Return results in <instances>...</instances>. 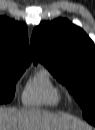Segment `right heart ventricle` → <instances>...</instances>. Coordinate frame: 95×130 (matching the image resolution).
<instances>
[{"label": "right heart ventricle", "mask_w": 95, "mask_h": 130, "mask_svg": "<svg viewBox=\"0 0 95 130\" xmlns=\"http://www.w3.org/2000/svg\"><path fill=\"white\" fill-rule=\"evenodd\" d=\"M63 98L61 87L46 68H40L30 77L22 94L27 106H57Z\"/></svg>", "instance_id": "obj_1"}]
</instances>
